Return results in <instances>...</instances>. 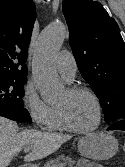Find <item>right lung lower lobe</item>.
<instances>
[{"label":"right lung lower lobe","mask_w":125,"mask_h":167,"mask_svg":"<svg viewBox=\"0 0 125 167\" xmlns=\"http://www.w3.org/2000/svg\"><path fill=\"white\" fill-rule=\"evenodd\" d=\"M0 116L20 122H30L31 117L23 106L0 101Z\"/></svg>","instance_id":"1"}]
</instances>
